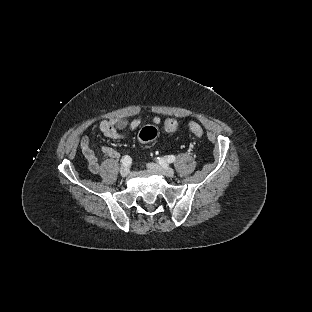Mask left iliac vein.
I'll list each match as a JSON object with an SVG mask.
<instances>
[{"instance_id": "left-iliac-vein-1", "label": "left iliac vein", "mask_w": 312, "mask_h": 312, "mask_svg": "<svg viewBox=\"0 0 312 312\" xmlns=\"http://www.w3.org/2000/svg\"><path fill=\"white\" fill-rule=\"evenodd\" d=\"M148 168L154 173L158 175H162V176L172 177L175 173L174 169L167 167V166L155 164V163L148 164Z\"/></svg>"}]
</instances>
